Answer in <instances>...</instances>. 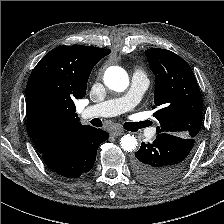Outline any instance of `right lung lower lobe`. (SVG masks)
Returning <instances> with one entry per match:
<instances>
[{"label":"right lung lower lobe","mask_w":224,"mask_h":224,"mask_svg":"<svg viewBox=\"0 0 224 224\" xmlns=\"http://www.w3.org/2000/svg\"><path fill=\"white\" fill-rule=\"evenodd\" d=\"M108 138V133L101 129L84 127L65 135L41 155L57 174L76 178L92 169L99 145Z\"/></svg>","instance_id":"right-lung-lower-lobe-1"}]
</instances>
